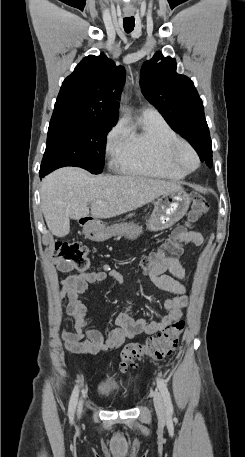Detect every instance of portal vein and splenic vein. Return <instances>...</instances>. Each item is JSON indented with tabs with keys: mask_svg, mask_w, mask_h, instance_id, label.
<instances>
[{
	"mask_svg": "<svg viewBox=\"0 0 245 457\" xmlns=\"http://www.w3.org/2000/svg\"><path fill=\"white\" fill-rule=\"evenodd\" d=\"M97 202H102V200H97ZM102 204H104V202H102Z\"/></svg>",
	"mask_w": 245,
	"mask_h": 457,
	"instance_id": "obj_1",
	"label": "portal vein and splenic vein"
}]
</instances>
